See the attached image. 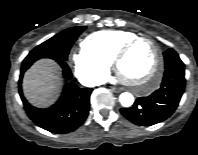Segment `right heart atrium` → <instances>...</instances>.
<instances>
[{"label":"right heart atrium","instance_id":"right-heart-atrium-1","mask_svg":"<svg viewBox=\"0 0 198 155\" xmlns=\"http://www.w3.org/2000/svg\"><path fill=\"white\" fill-rule=\"evenodd\" d=\"M70 60L77 78L83 83L94 85L104 81L108 75L110 63L89 52L83 46L70 53Z\"/></svg>","mask_w":198,"mask_h":155}]
</instances>
